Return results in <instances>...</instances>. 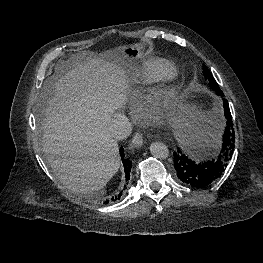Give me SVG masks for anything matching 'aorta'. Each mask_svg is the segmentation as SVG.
Instances as JSON below:
<instances>
[{
    "instance_id": "obj_1",
    "label": "aorta",
    "mask_w": 263,
    "mask_h": 263,
    "mask_svg": "<svg viewBox=\"0 0 263 263\" xmlns=\"http://www.w3.org/2000/svg\"><path fill=\"white\" fill-rule=\"evenodd\" d=\"M150 152L157 159H166L169 155L168 147L162 142H154L150 145Z\"/></svg>"
}]
</instances>
